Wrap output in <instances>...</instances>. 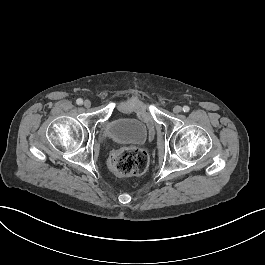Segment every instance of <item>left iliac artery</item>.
<instances>
[{"label":"left iliac artery","mask_w":265,"mask_h":265,"mask_svg":"<svg viewBox=\"0 0 265 265\" xmlns=\"http://www.w3.org/2000/svg\"><path fill=\"white\" fill-rule=\"evenodd\" d=\"M189 110H190V108H189L188 106H184V107H183V111H184V112H189Z\"/></svg>","instance_id":"44dca946"}]
</instances>
